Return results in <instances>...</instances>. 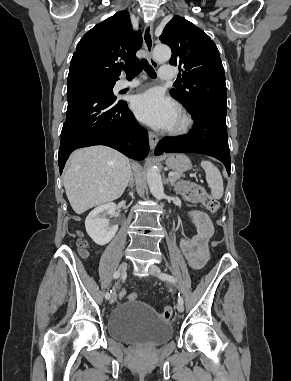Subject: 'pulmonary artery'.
<instances>
[{"label":"pulmonary artery","mask_w":291,"mask_h":381,"mask_svg":"<svg viewBox=\"0 0 291 381\" xmlns=\"http://www.w3.org/2000/svg\"><path fill=\"white\" fill-rule=\"evenodd\" d=\"M159 74L162 80L170 81L175 79L177 72L173 65H163L160 68ZM138 84L139 82L136 80L131 82L121 80L118 82L117 88L118 89L133 88V87H136Z\"/></svg>","instance_id":"1"}]
</instances>
